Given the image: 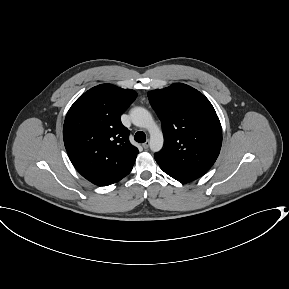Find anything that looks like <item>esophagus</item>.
I'll use <instances>...</instances> for the list:
<instances>
[{
    "mask_svg": "<svg viewBox=\"0 0 289 289\" xmlns=\"http://www.w3.org/2000/svg\"><path fill=\"white\" fill-rule=\"evenodd\" d=\"M148 147H149V141H146L145 143H143L144 149H148Z\"/></svg>",
    "mask_w": 289,
    "mask_h": 289,
    "instance_id": "esophagus-1",
    "label": "esophagus"
}]
</instances>
